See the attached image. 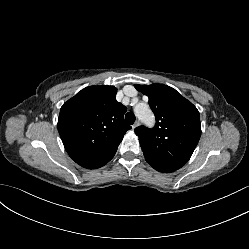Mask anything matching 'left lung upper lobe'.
<instances>
[{"label":"left lung upper lobe","mask_w":249,"mask_h":249,"mask_svg":"<svg viewBox=\"0 0 249 249\" xmlns=\"http://www.w3.org/2000/svg\"><path fill=\"white\" fill-rule=\"evenodd\" d=\"M149 98L153 129L135 128L146 161L155 167L181 168L190 159L201 135L197 108L179 92L163 84L138 85Z\"/></svg>","instance_id":"5c2ea615"}]
</instances>
